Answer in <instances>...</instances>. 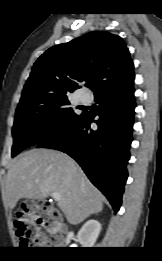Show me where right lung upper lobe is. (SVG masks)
Listing matches in <instances>:
<instances>
[{
  "label": "right lung upper lobe",
  "mask_w": 162,
  "mask_h": 261,
  "mask_svg": "<svg viewBox=\"0 0 162 261\" xmlns=\"http://www.w3.org/2000/svg\"><path fill=\"white\" fill-rule=\"evenodd\" d=\"M133 62L123 39L93 31L48 49L35 62L21 101L34 96H68L79 83H95V97L134 82Z\"/></svg>",
  "instance_id": "cb5924a9"
}]
</instances>
